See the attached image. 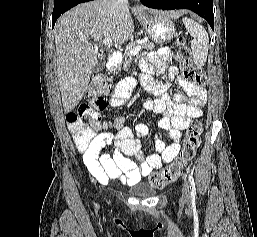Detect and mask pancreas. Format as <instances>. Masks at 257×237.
Here are the masks:
<instances>
[{
    "label": "pancreas",
    "instance_id": "1",
    "mask_svg": "<svg viewBox=\"0 0 257 237\" xmlns=\"http://www.w3.org/2000/svg\"><path fill=\"white\" fill-rule=\"evenodd\" d=\"M139 44H141L142 48L146 49V50H153L154 47H155V45L152 42H150L149 40H144V41L135 40V41H131L126 46V49H125V52H124V59H125V63L126 64H128L132 60V55L130 54V51L132 49H134Z\"/></svg>",
    "mask_w": 257,
    "mask_h": 237
}]
</instances>
